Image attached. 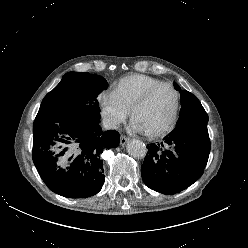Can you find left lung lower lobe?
<instances>
[{"label":"left lung lower lobe","mask_w":248,"mask_h":248,"mask_svg":"<svg viewBox=\"0 0 248 248\" xmlns=\"http://www.w3.org/2000/svg\"><path fill=\"white\" fill-rule=\"evenodd\" d=\"M207 123L179 125L160 144H150L141 166L144 183L169 195L178 193L204 172L210 153Z\"/></svg>","instance_id":"obj_1"}]
</instances>
